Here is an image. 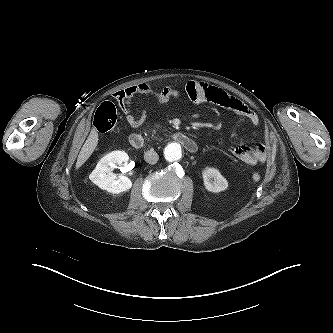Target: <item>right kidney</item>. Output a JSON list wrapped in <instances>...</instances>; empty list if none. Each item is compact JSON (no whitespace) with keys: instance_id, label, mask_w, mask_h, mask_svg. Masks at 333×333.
Masks as SVG:
<instances>
[{"instance_id":"1","label":"right kidney","mask_w":333,"mask_h":333,"mask_svg":"<svg viewBox=\"0 0 333 333\" xmlns=\"http://www.w3.org/2000/svg\"><path fill=\"white\" fill-rule=\"evenodd\" d=\"M129 159L125 151H113L100 159L89 178L99 188L107 192L118 194L132 187L131 180L126 176H117L111 172V166L115 163L122 164Z\"/></svg>"}]
</instances>
